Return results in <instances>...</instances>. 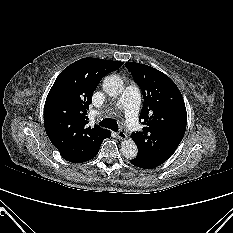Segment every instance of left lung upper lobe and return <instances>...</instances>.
Masks as SVG:
<instances>
[{
	"label": "left lung upper lobe",
	"mask_w": 233,
	"mask_h": 233,
	"mask_svg": "<svg viewBox=\"0 0 233 233\" xmlns=\"http://www.w3.org/2000/svg\"><path fill=\"white\" fill-rule=\"evenodd\" d=\"M127 69L139 85L144 102L139 121L146 126L131 134L139 157L156 166L177 149L186 130L187 112L176 84L164 73L145 64L127 62Z\"/></svg>",
	"instance_id": "5c2ea615"
}]
</instances>
